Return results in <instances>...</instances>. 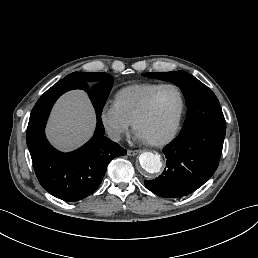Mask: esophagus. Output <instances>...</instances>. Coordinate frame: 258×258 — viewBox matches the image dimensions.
<instances>
[{
    "instance_id": "esophagus-1",
    "label": "esophagus",
    "mask_w": 258,
    "mask_h": 258,
    "mask_svg": "<svg viewBox=\"0 0 258 258\" xmlns=\"http://www.w3.org/2000/svg\"><path fill=\"white\" fill-rule=\"evenodd\" d=\"M141 153V150L140 149H137V150H128L127 154L129 156H135L137 154Z\"/></svg>"
}]
</instances>
